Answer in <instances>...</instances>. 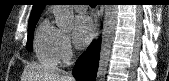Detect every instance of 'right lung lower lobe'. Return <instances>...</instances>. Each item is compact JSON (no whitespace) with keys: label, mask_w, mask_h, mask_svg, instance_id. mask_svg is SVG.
<instances>
[{"label":"right lung lower lobe","mask_w":169,"mask_h":81,"mask_svg":"<svg viewBox=\"0 0 169 81\" xmlns=\"http://www.w3.org/2000/svg\"><path fill=\"white\" fill-rule=\"evenodd\" d=\"M100 42H92L78 58L73 69L77 81H95L98 68Z\"/></svg>","instance_id":"98d812e1"}]
</instances>
